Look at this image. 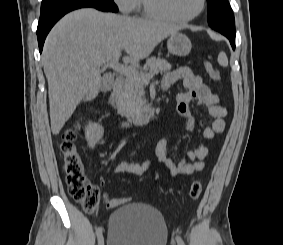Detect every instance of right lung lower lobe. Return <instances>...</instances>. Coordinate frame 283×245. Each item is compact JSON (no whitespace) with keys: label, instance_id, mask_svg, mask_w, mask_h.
<instances>
[{"label":"right lung lower lobe","instance_id":"1","mask_svg":"<svg viewBox=\"0 0 283 245\" xmlns=\"http://www.w3.org/2000/svg\"><path fill=\"white\" fill-rule=\"evenodd\" d=\"M85 7H93L101 11H118V8L114 2H109L106 0H80L41 12L37 28V38L40 53L42 52L45 38L53 25L66 13Z\"/></svg>","mask_w":283,"mask_h":245}]
</instances>
